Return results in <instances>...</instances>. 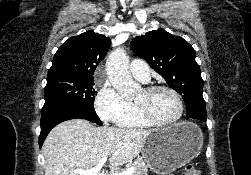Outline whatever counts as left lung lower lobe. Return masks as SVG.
<instances>
[{
  "label": "left lung lower lobe",
  "mask_w": 251,
  "mask_h": 175,
  "mask_svg": "<svg viewBox=\"0 0 251 175\" xmlns=\"http://www.w3.org/2000/svg\"><path fill=\"white\" fill-rule=\"evenodd\" d=\"M186 107H187L186 118L206 122L207 114H206L205 103H189L186 104Z\"/></svg>",
  "instance_id": "left-lung-lower-lobe-1"
}]
</instances>
